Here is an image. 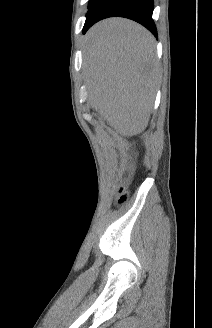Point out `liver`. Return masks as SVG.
<instances>
[{
    "label": "liver",
    "mask_w": 212,
    "mask_h": 328,
    "mask_svg": "<svg viewBox=\"0 0 212 328\" xmlns=\"http://www.w3.org/2000/svg\"><path fill=\"white\" fill-rule=\"evenodd\" d=\"M83 58L91 107L123 136L144 131L158 82L154 37L131 20L109 18L86 34Z\"/></svg>",
    "instance_id": "obj_1"
}]
</instances>
